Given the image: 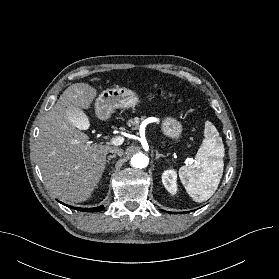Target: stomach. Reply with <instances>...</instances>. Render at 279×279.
I'll use <instances>...</instances> for the list:
<instances>
[{
	"label": "stomach",
	"mask_w": 279,
	"mask_h": 279,
	"mask_svg": "<svg viewBox=\"0 0 279 279\" xmlns=\"http://www.w3.org/2000/svg\"><path fill=\"white\" fill-rule=\"evenodd\" d=\"M139 103L140 97L136 92L125 87L109 88L104 90L96 99V115L99 119L106 120L111 116L113 110L135 107ZM161 131L164 136L178 141L183 127L176 118L167 116L162 121Z\"/></svg>",
	"instance_id": "0dacf381"
}]
</instances>
